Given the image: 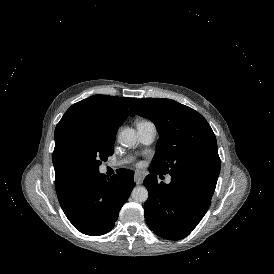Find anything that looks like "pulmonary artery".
Returning <instances> with one entry per match:
<instances>
[{
    "mask_svg": "<svg viewBox=\"0 0 274 274\" xmlns=\"http://www.w3.org/2000/svg\"><path fill=\"white\" fill-rule=\"evenodd\" d=\"M136 130L141 143H143L144 145H150L151 143H153L157 134V129L152 122L142 121L137 125ZM119 165L120 163L115 162L107 163V166L109 167H117ZM170 182L171 176L168 175L166 178V183L169 184Z\"/></svg>",
    "mask_w": 274,
    "mask_h": 274,
    "instance_id": "pulmonary-artery-1",
    "label": "pulmonary artery"
}]
</instances>
